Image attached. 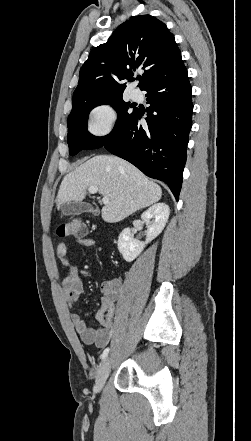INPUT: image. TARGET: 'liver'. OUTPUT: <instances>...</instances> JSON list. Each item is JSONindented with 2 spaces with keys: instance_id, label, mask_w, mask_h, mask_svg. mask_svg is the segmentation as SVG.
<instances>
[{
  "instance_id": "liver-1",
  "label": "liver",
  "mask_w": 251,
  "mask_h": 441,
  "mask_svg": "<svg viewBox=\"0 0 251 441\" xmlns=\"http://www.w3.org/2000/svg\"><path fill=\"white\" fill-rule=\"evenodd\" d=\"M92 186L109 198V203L102 208V218L108 223L119 222L158 202L162 196L161 187L131 163L115 156L97 155L63 178L57 208L67 202H81Z\"/></svg>"
}]
</instances>
